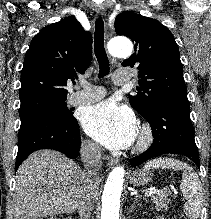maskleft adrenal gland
I'll use <instances>...</instances> for the list:
<instances>
[{
    "instance_id": "obj_1",
    "label": "left adrenal gland",
    "mask_w": 211,
    "mask_h": 219,
    "mask_svg": "<svg viewBox=\"0 0 211 219\" xmlns=\"http://www.w3.org/2000/svg\"><path fill=\"white\" fill-rule=\"evenodd\" d=\"M135 200H136V198H135ZM133 209H134V205L132 204L131 208L129 209V213H131L133 211Z\"/></svg>"
}]
</instances>
